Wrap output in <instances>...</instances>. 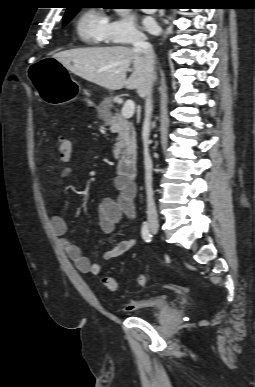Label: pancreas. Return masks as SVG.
I'll return each instance as SVG.
<instances>
[{
	"mask_svg": "<svg viewBox=\"0 0 255 387\" xmlns=\"http://www.w3.org/2000/svg\"><path fill=\"white\" fill-rule=\"evenodd\" d=\"M108 99L106 102H110ZM105 124L110 126L112 133H117V142L113 147V155L115 159H120L126 155L136 154V132L132 121L123 118L120 112H116L113 116L107 113H101Z\"/></svg>",
	"mask_w": 255,
	"mask_h": 387,
	"instance_id": "obj_1",
	"label": "pancreas"
}]
</instances>
